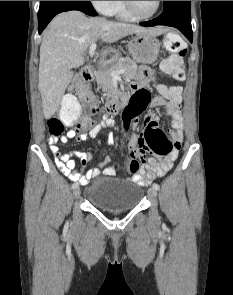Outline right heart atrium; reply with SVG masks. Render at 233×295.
<instances>
[{"mask_svg":"<svg viewBox=\"0 0 233 295\" xmlns=\"http://www.w3.org/2000/svg\"><path fill=\"white\" fill-rule=\"evenodd\" d=\"M92 6L101 14L109 15L114 1H90Z\"/></svg>","mask_w":233,"mask_h":295,"instance_id":"right-heart-atrium-1","label":"right heart atrium"}]
</instances>
